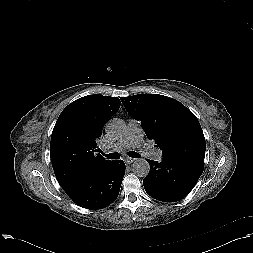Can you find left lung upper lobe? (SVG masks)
<instances>
[{
    "label": "left lung upper lobe",
    "mask_w": 253,
    "mask_h": 253,
    "mask_svg": "<svg viewBox=\"0 0 253 253\" xmlns=\"http://www.w3.org/2000/svg\"><path fill=\"white\" fill-rule=\"evenodd\" d=\"M129 115L140 121L162 156L189 155L204 159L206 143L196 116L179 101L159 94L120 98Z\"/></svg>",
    "instance_id": "5c2ea615"
}]
</instances>
